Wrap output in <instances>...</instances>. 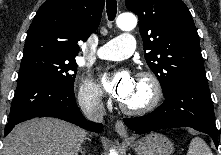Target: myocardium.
<instances>
[{"label":"myocardium","instance_id":"f54148a6","mask_svg":"<svg viewBox=\"0 0 221 155\" xmlns=\"http://www.w3.org/2000/svg\"><path fill=\"white\" fill-rule=\"evenodd\" d=\"M137 79L143 80L149 84L150 97L145 104L138 107L128 106L121 102L120 108L129 115H144L151 112L158 106L162 96L161 84L155 74L149 71H141L137 74Z\"/></svg>","mask_w":221,"mask_h":155}]
</instances>
